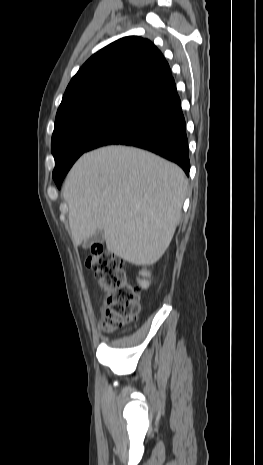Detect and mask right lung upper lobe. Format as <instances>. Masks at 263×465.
Returning a JSON list of instances; mask_svg holds the SVG:
<instances>
[{"instance_id":"right-lung-upper-lobe-1","label":"right lung upper lobe","mask_w":263,"mask_h":465,"mask_svg":"<svg viewBox=\"0 0 263 465\" xmlns=\"http://www.w3.org/2000/svg\"><path fill=\"white\" fill-rule=\"evenodd\" d=\"M171 76L167 61L152 42L137 36L123 37L95 53L79 69L56 116L96 98H136Z\"/></svg>"}]
</instances>
